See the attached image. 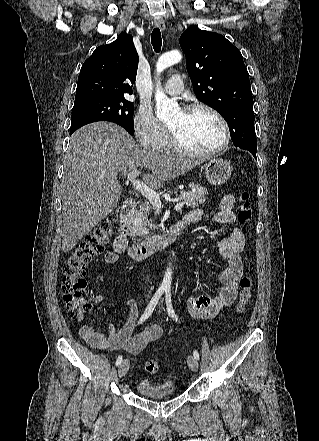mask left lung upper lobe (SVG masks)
I'll return each mask as SVG.
<instances>
[{
	"instance_id": "1",
	"label": "left lung upper lobe",
	"mask_w": 319,
	"mask_h": 441,
	"mask_svg": "<svg viewBox=\"0 0 319 441\" xmlns=\"http://www.w3.org/2000/svg\"><path fill=\"white\" fill-rule=\"evenodd\" d=\"M179 42L196 97L226 120L234 146L256 152L252 92L240 51L197 26L186 29Z\"/></svg>"
}]
</instances>
